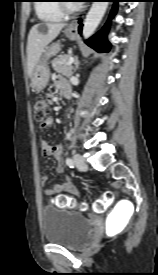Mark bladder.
Here are the masks:
<instances>
[{"mask_svg":"<svg viewBox=\"0 0 158 275\" xmlns=\"http://www.w3.org/2000/svg\"><path fill=\"white\" fill-rule=\"evenodd\" d=\"M44 240L67 248L80 247L91 235V223L80 212L46 206L42 210Z\"/></svg>","mask_w":158,"mask_h":275,"instance_id":"obj_1","label":"bladder"}]
</instances>
